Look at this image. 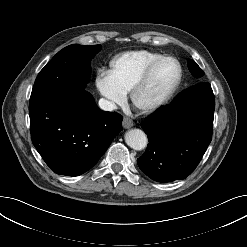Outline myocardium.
<instances>
[{"label":"myocardium","mask_w":247,"mask_h":247,"mask_svg":"<svg viewBox=\"0 0 247 247\" xmlns=\"http://www.w3.org/2000/svg\"><path fill=\"white\" fill-rule=\"evenodd\" d=\"M163 60H172L178 69L177 77L173 84L170 86V88L156 101L146 105V106H138L137 104V97L140 93V91L144 88L146 83L148 82L153 70L155 67ZM183 75V70L180 62L173 56L170 55H161L160 57L153 60L142 72V74L139 76V78L134 83L132 89H131V101L132 103L141 111L143 112H152L154 110H157L161 106H163L174 94V92L177 90L181 79Z\"/></svg>","instance_id":"obj_1"}]
</instances>
